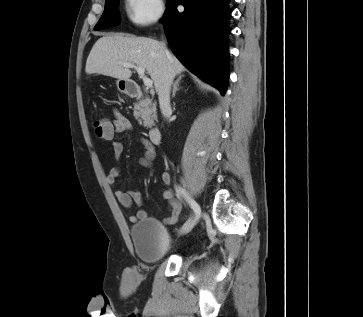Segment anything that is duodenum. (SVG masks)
Returning a JSON list of instances; mask_svg holds the SVG:
<instances>
[{
  "label": "duodenum",
  "mask_w": 363,
  "mask_h": 317,
  "mask_svg": "<svg viewBox=\"0 0 363 317\" xmlns=\"http://www.w3.org/2000/svg\"><path fill=\"white\" fill-rule=\"evenodd\" d=\"M126 91L128 96L130 97H141L143 95V91L141 87L136 84L129 82L126 86ZM149 137L153 144L159 145L162 141V133L161 130L158 127H152L149 130Z\"/></svg>",
  "instance_id": "obj_1"
}]
</instances>
